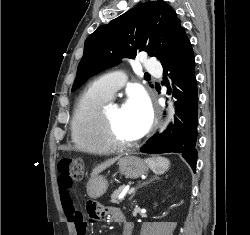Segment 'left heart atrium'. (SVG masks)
<instances>
[{
  "label": "left heart atrium",
  "instance_id": "1",
  "mask_svg": "<svg viewBox=\"0 0 250 235\" xmlns=\"http://www.w3.org/2000/svg\"><path fill=\"white\" fill-rule=\"evenodd\" d=\"M124 108L132 117L139 135L145 134L153 119V111L147 95L142 91L131 92Z\"/></svg>",
  "mask_w": 250,
  "mask_h": 235
}]
</instances>
